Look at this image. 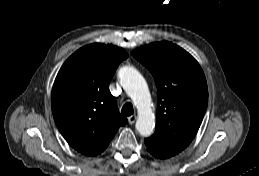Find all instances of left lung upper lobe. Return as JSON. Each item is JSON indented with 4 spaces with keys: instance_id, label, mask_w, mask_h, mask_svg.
I'll return each mask as SVG.
<instances>
[{
    "instance_id": "left-lung-upper-lobe-1",
    "label": "left lung upper lobe",
    "mask_w": 259,
    "mask_h": 176,
    "mask_svg": "<svg viewBox=\"0 0 259 176\" xmlns=\"http://www.w3.org/2000/svg\"><path fill=\"white\" fill-rule=\"evenodd\" d=\"M132 55L153 75L158 91L155 133L145 139L154 157L166 159L195 137L208 104V88L199 63L181 47L162 41Z\"/></svg>"
}]
</instances>
